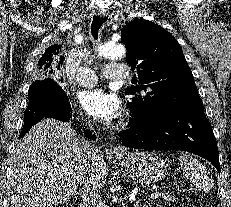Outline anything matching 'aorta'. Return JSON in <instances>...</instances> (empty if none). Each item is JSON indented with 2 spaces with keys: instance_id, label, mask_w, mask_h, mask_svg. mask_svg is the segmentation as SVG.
Segmentation results:
<instances>
[{
  "instance_id": "obj_1",
  "label": "aorta",
  "mask_w": 231,
  "mask_h": 207,
  "mask_svg": "<svg viewBox=\"0 0 231 207\" xmlns=\"http://www.w3.org/2000/svg\"><path fill=\"white\" fill-rule=\"evenodd\" d=\"M97 55L106 59L117 60L126 55V49L121 44L103 43L96 48Z\"/></svg>"
}]
</instances>
